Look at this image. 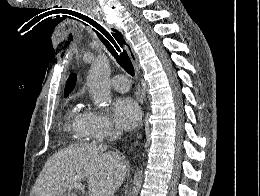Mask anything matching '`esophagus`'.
<instances>
[{"instance_id": "obj_1", "label": "esophagus", "mask_w": 260, "mask_h": 196, "mask_svg": "<svg viewBox=\"0 0 260 196\" xmlns=\"http://www.w3.org/2000/svg\"><path fill=\"white\" fill-rule=\"evenodd\" d=\"M118 31L123 35V32H122L121 29H118ZM125 49L128 52V54H129L132 62L134 63L135 67H137V57H136V54H135V52H134V50L132 48L131 43L127 39L125 41ZM142 124L143 123H141V127H142Z\"/></svg>"}]
</instances>
